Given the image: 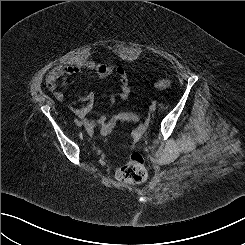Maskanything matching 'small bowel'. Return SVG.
I'll list each match as a JSON object with an SVG mask.
<instances>
[{"label": "small bowel", "instance_id": "obj_1", "mask_svg": "<svg viewBox=\"0 0 245 245\" xmlns=\"http://www.w3.org/2000/svg\"><path fill=\"white\" fill-rule=\"evenodd\" d=\"M83 69L93 71L96 76L104 80L115 74L119 81V94L120 100H126L130 95V88L128 80L124 70L120 67H116L108 64H101L95 61L89 60L85 62L70 63L67 65H59L54 67L46 76V86L53 92L55 98L59 102L67 101L71 111L78 116L85 126L92 130L98 126H102L107 121V115L101 114L97 118L90 119L88 114L94 107L95 95L93 92L78 93L74 98H66L65 94L59 90V84L64 83V77L68 75H75L80 73ZM77 102H84L83 106H77ZM116 102V96L113 94L109 95V107H112Z\"/></svg>", "mask_w": 245, "mask_h": 245}]
</instances>
